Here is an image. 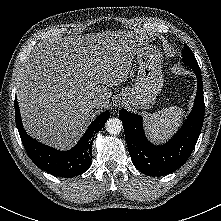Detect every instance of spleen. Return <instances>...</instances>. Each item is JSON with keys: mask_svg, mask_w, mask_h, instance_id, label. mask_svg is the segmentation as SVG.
<instances>
[{"mask_svg": "<svg viewBox=\"0 0 221 221\" xmlns=\"http://www.w3.org/2000/svg\"><path fill=\"white\" fill-rule=\"evenodd\" d=\"M183 114V109L178 106L146 114L145 127L148 136L154 141H163L169 138L182 122Z\"/></svg>", "mask_w": 221, "mask_h": 221, "instance_id": "1", "label": "spleen"}]
</instances>
